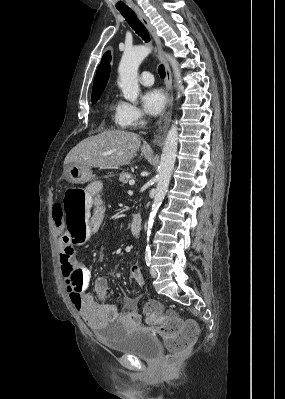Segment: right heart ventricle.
<instances>
[{
	"label": "right heart ventricle",
	"mask_w": 285,
	"mask_h": 399,
	"mask_svg": "<svg viewBox=\"0 0 285 399\" xmlns=\"http://www.w3.org/2000/svg\"><path fill=\"white\" fill-rule=\"evenodd\" d=\"M109 107H110V110L114 113V120H115L116 124L118 125V127L124 128L125 126L121 124L120 117H119L121 103H117L114 100H112L110 102Z\"/></svg>",
	"instance_id": "right-heart-ventricle-1"
}]
</instances>
